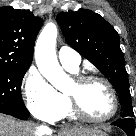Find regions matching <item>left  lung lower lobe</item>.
<instances>
[{
    "label": "left lung lower lobe",
    "mask_w": 136,
    "mask_h": 136,
    "mask_svg": "<svg viewBox=\"0 0 136 136\" xmlns=\"http://www.w3.org/2000/svg\"><path fill=\"white\" fill-rule=\"evenodd\" d=\"M111 125L120 127L128 136H135V122L132 117L121 118Z\"/></svg>",
    "instance_id": "1"
}]
</instances>
